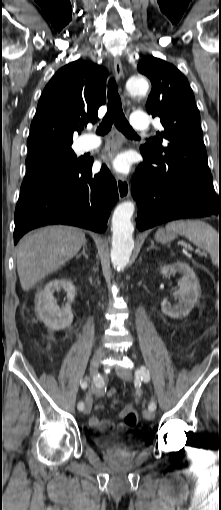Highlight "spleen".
<instances>
[{"mask_svg": "<svg viewBox=\"0 0 221 510\" xmlns=\"http://www.w3.org/2000/svg\"><path fill=\"white\" fill-rule=\"evenodd\" d=\"M167 231L185 236L193 244L207 251L212 260H218V233L208 223L201 220H175L166 225Z\"/></svg>", "mask_w": 221, "mask_h": 510, "instance_id": "obj_1", "label": "spleen"}]
</instances>
